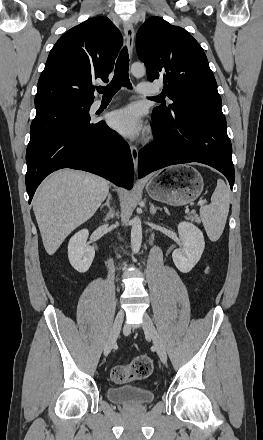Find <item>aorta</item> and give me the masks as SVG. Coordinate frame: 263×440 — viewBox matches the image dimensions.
<instances>
[{"instance_id": "762f6f07", "label": "aorta", "mask_w": 263, "mask_h": 440, "mask_svg": "<svg viewBox=\"0 0 263 440\" xmlns=\"http://www.w3.org/2000/svg\"><path fill=\"white\" fill-rule=\"evenodd\" d=\"M131 73L133 76L139 78L143 77L146 73L145 66L141 63H134L131 66ZM142 243V226L141 220L138 216L132 219L131 228V248L133 253H138Z\"/></svg>"}]
</instances>
